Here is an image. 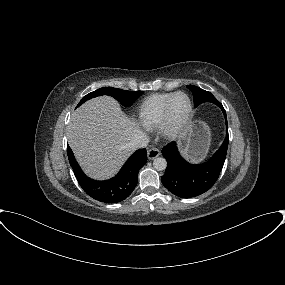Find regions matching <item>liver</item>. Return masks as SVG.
<instances>
[{"mask_svg": "<svg viewBox=\"0 0 285 285\" xmlns=\"http://www.w3.org/2000/svg\"><path fill=\"white\" fill-rule=\"evenodd\" d=\"M138 125L116 100L101 96L85 102L71 115L67 139L84 172L94 179L114 176L133 152L129 143Z\"/></svg>", "mask_w": 285, "mask_h": 285, "instance_id": "liver-1", "label": "liver"}]
</instances>
